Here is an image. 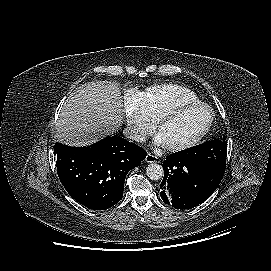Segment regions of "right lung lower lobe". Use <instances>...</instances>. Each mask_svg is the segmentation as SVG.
<instances>
[{
  "label": "right lung lower lobe",
  "mask_w": 271,
  "mask_h": 271,
  "mask_svg": "<svg viewBox=\"0 0 271 271\" xmlns=\"http://www.w3.org/2000/svg\"><path fill=\"white\" fill-rule=\"evenodd\" d=\"M54 153L57 173L67 192L93 210L108 209L121 200L127 173L147 155L135 143L117 136L87 147L56 143Z\"/></svg>",
  "instance_id": "1"
}]
</instances>
